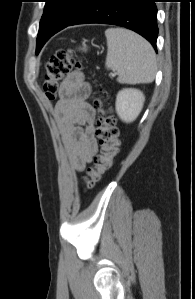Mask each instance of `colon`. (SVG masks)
I'll return each mask as SVG.
<instances>
[{"label": "colon", "instance_id": "colon-1", "mask_svg": "<svg viewBox=\"0 0 195 299\" xmlns=\"http://www.w3.org/2000/svg\"><path fill=\"white\" fill-rule=\"evenodd\" d=\"M81 66L80 59L70 50H60L48 60L45 67L43 89L49 99L55 98L60 84L75 68ZM108 95L100 90L99 96L93 98L94 106L98 109L97 137L100 144V153L95 157L94 166L88 168L83 178L87 188L98 183L108 172L119 152L118 127L116 118L107 106Z\"/></svg>", "mask_w": 195, "mask_h": 299}]
</instances>
